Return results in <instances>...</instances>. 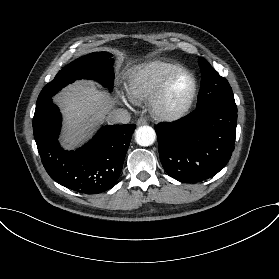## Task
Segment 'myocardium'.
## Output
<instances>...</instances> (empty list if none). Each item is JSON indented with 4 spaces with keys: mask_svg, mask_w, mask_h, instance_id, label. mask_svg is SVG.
Returning a JSON list of instances; mask_svg holds the SVG:
<instances>
[{
    "mask_svg": "<svg viewBox=\"0 0 279 279\" xmlns=\"http://www.w3.org/2000/svg\"><path fill=\"white\" fill-rule=\"evenodd\" d=\"M181 74H187L192 79V89L187 99L177 108L169 109L166 107V100L172 83ZM198 91V82L195 75L187 70L182 69L167 77L155 94L151 98L150 108L154 117L163 122H176L181 120L191 109Z\"/></svg>",
    "mask_w": 279,
    "mask_h": 279,
    "instance_id": "f54148a6",
    "label": "myocardium"
}]
</instances>
